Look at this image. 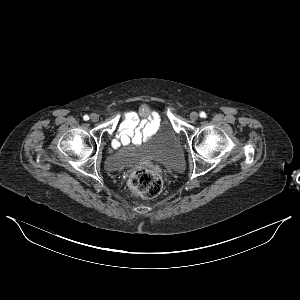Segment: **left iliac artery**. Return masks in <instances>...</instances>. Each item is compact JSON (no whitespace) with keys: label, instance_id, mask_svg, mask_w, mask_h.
<instances>
[{"label":"left iliac artery","instance_id":"1","mask_svg":"<svg viewBox=\"0 0 300 300\" xmlns=\"http://www.w3.org/2000/svg\"><path fill=\"white\" fill-rule=\"evenodd\" d=\"M200 117L201 118H205L206 117V113L205 112H200Z\"/></svg>","mask_w":300,"mask_h":300}]
</instances>
